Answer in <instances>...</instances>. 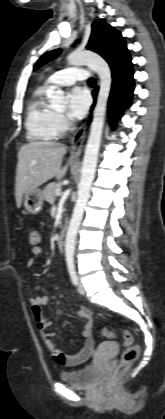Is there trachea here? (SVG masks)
Wrapping results in <instances>:
<instances>
[{
  "label": "trachea",
  "mask_w": 165,
  "mask_h": 419,
  "mask_svg": "<svg viewBox=\"0 0 165 419\" xmlns=\"http://www.w3.org/2000/svg\"><path fill=\"white\" fill-rule=\"evenodd\" d=\"M96 83V81H95V79L94 78H90L89 80H88V84H90V85H94Z\"/></svg>",
  "instance_id": "obj_1"
}]
</instances>
